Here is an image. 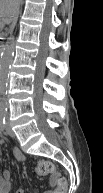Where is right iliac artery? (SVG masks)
Instances as JSON below:
<instances>
[{
	"label": "right iliac artery",
	"instance_id": "right-iliac-artery-1",
	"mask_svg": "<svg viewBox=\"0 0 103 193\" xmlns=\"http://www.w3.org/2000/svg\"><path fill=\"white\" fill-rule=\"evenodd\" d=\"M5 124H6L5 114L1 113L0 114V128H1V130L5 129Z\"/></svg>",
	"mask_w": 103,
	"mask_h": 193
}]
</instances>
